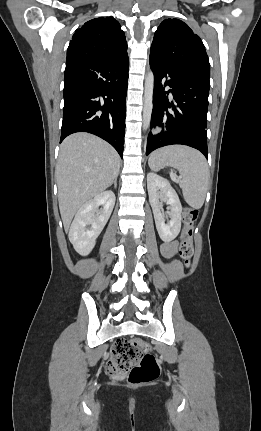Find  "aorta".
<instances>
[{
	"label": "aorta",
	"instance_id": "762f6f07",
	"mask_svg": "<svg viewBox=\"0 0 261 431\" xmlns=\"http://www.w3.org/2000/svg\"><path fill=\"white\" fill-rule=\"evenodd\" d=\"M154 75L150 71L145 79L144 104H143V129L150 125L153 110Z\"/></svg>",
	"mask_w": 261,
	"mask_h": 431
}]
</instances>
